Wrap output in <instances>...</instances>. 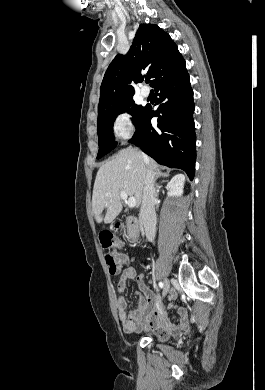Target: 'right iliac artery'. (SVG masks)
<instances>
[{
  "label": "right iliac artery",
  "mask_w": 265,
  "mask_h": 390,
  "mask_svg": "<svg viewBox=\"0 0 265 390\" xmlns=\"http://www.w3.org/2000/svg\"><path fill=\"white\" fill-rule=\"evenodd\" d=\"M163 286H164L163 282H159V287L163 288Z\"/></svg>",
  "instance_id": "1"
}]
</instances>
